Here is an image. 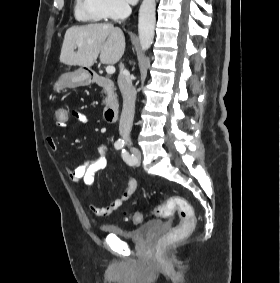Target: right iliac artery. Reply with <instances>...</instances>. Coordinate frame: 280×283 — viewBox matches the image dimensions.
<instances>
[{
    "label": "right iliac artery",
    "mask_w": 280,
    "mask_h": 283,
    "mask_svg": "<svg viewBox=\"0 0 280 283\" xmlns=\"http://www.w3.org/2000/svg\"><path fill=\"white\" fill-rule=\"evenodd\" d=\"M114 146H115V148H116L117 150H119V149H122V148H123L124 143L121 142V141H117V142H115Z\"/></svg>",
    "instance_id": "82829eb1"
}]
</instances>
